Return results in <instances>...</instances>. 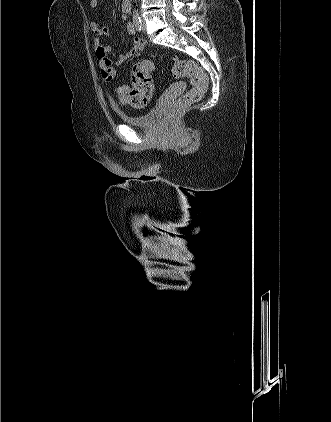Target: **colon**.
Here are the masks:
<instances>
[{"instance_id": "1", "label": "colon", "mask_w": 331, "mask_h": 422, "mask_svg": "<svg viewBox=\"0 0 331 422\" xmlns=\"http://www.w3.org/2000/svg\"><path fill=\"white\" fill-rule=\"evenodd\" d=\"M153 64L143 60L133 66L132 87L119 86L117 94L134 107L145 106L152 95ZM173 73L179 77H188L192 88L182 97L175 100L169 107L167 114L170 117L178 115L188 104L200 100L207 90L208 77L204 70L194 61L178 60L174 64Z\"/></svg>"}]
</instances>
